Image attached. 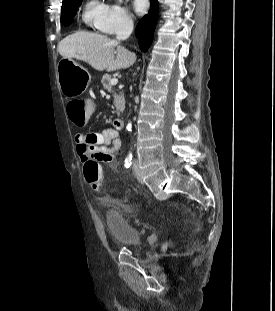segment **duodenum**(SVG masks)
Masks as SVG:
<instances>
[{"label": "duodenum", "instance_id": "obj_1", "mask_svg": "<svg viewBox=\"0 0 275 311\" xmlns=\"http://www.w3.org/2000/svg\"><path fill=\"white\" fill-rule=\"evenodd\" d=\"M113 124L114 126L117 128V129H122L124 124H123V121L121 119H114L113 121Z\"/></svg>", "mask_w": 275, "mask_h": 311}]
</instances>
